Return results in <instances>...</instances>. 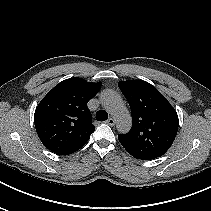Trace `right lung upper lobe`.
<instances>
[{"mask_svg":"<svg viewBox=\"0 0 211 211\" xmlns=\"http://www.w3.org/2000/svg\"><path fill=\"white\" fill-rule=\"evenodd\" d=\"M101 83L74 77L57 84L36 108L34 122L43 145L58 155H68L84 146L94 132L87 102Z\"/></svg>","mask_w":211,"mask_h":211,"instance_id":"obj_1","label":"right lung upper lobe"}]
</instances>
